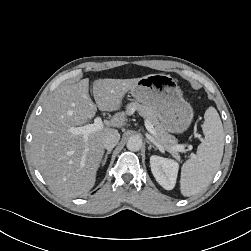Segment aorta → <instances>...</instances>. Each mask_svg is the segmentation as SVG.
<instances>
[{"label":"aorta","mask_w":251,"mask_h":251,"mask_svg":"<svg viewBox=\"0 0 251 251\" xmlns=\"http://www.w3.org/2000/svg\"><path fill=\"white\" fill-rule=\"evenodd\" d=\"M142 147V139L139 136H131L127 141V148L130 151H139Z\"/></svg>","instance_id":"1"}]
</instances>
